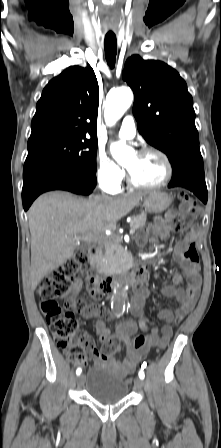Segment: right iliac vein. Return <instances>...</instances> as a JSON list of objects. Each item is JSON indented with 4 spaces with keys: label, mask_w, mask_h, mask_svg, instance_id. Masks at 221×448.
<instances>
[{
    "label": "right iliac vein",
    "mask_w": 221,
    "mask_h": 448,
    "mask_svg": "<svg viewBox=\"0 0 221 448\" xmlns=\"http://www.w3.org/2000/svg\"><path fill=\"white\" fill-rule=\"evenodd\" d=\"M77 383H78V385H82V384H83V374H82V375H79V376L77 377Z\"/></svg>",
    "instance_id": "63e3f726"
}]
</instances>
